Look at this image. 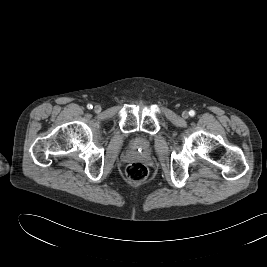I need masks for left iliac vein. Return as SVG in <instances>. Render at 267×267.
<instances>
[{
    "label": "left iliac vein",
    "mask_w": 267,
    "mask_h": 267,
    "mask_svg": "<svg viewBox=\"0 0 267 267\" xmlns=\"http://www.w3.org/2000/svg\"><path fill=\"white\" fill-rule=\"evenodd\" d=\"M182 117L185 118V119L188 118L189 117V113L187 111H183Z\"/></svg>",
    "instance_id": "left-iliac-vein-1"
}]
</instances>
